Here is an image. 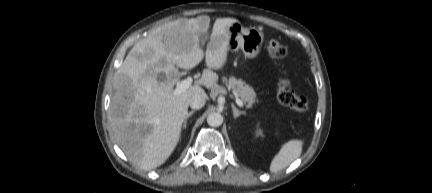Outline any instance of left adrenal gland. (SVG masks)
Returning <instances> with one entry per match:
<instances>
[{"label": "left adrenal gland", "instance_id": "left-adrenal-gland-1", "mask_svg": "<svg viewBox=\"0 0 432 193\" xmlns=\"http://www.w3.org/2000/svg\"><path fill=\"white\" fill-rule=\"evenodd\" d=\"M232 110H233L234 119H237L240 115L245 114L244 111H239L233 104H232Z\"/></svg>", "mask_w": 432, "mask_h": 193}]
</instances>
